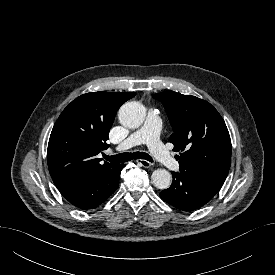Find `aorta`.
<instances>
[{
	"instance_id": "1",
	"label": "aorta",
	"mask_w": 275,
	"mask_h": 275,
	"mask_svg": "<svg viewBox=\"0 0 275 275\" xmlns=\"http://www.w3.org/2000/svg\"><path fill=\"white\" fill-rule=\"evenodd\" d=\"M119 121L125 127L136 129L145 119L144 106L136 101L123 104L119 110ZM153 185L158 189H167L171 185L172 176L165 169H157L151 175Z\"/></svg>"
}]
</instances>
